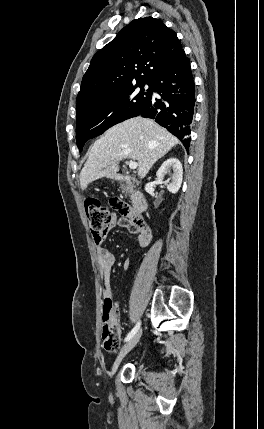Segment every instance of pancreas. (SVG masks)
Returning a JSON list of instances; mask_svg holds the SVG:
<instances>
[{
  "label": "pancreas",
  "instance_id": "cf45deb5",
  "mask_svg": "<svg viewBox=\"0 0 264 429\" xmlns=\"http://www.w3.org/2000/svg\"><path fill=\"white\" fill-rule=\"evenodd\" d=\"M121 190L122 193H126L129 194L131 196V198H133V189L131 186L125 185V184H121Z\"/></svg>",
  "mask_w": 264,
  "mask_h": 429
}]
</instances>
